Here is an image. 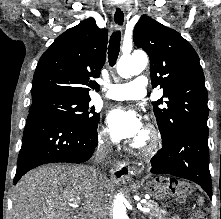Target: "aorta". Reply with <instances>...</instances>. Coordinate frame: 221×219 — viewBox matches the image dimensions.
Masks as SVG:
<instances>
[{"label":"aorta","instance_id":"aorta-1","mask_svg":"<svg viewBox=\"0 0 221 219\" xmlns=\"http://www.w3.org/2000/svg\"><path fill=\"white\" fill-rule=\"evenodd\" d=\"M148 59L143 52H134L131 55H123L117 62V73L123 78H130L140 74L147 66ZM123 194H118L114 203L113 219H122L125 216Z\"/></svg>","mask_w":221,"mask_h":219}]
</instances>
